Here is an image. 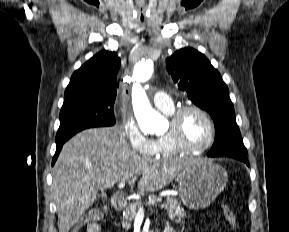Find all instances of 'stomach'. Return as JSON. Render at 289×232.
Masks as SVG:
<instances>
[{
	"mask_svg": "<svg viewBox=\"0 0 289 232\" xmlns=\"http://www.w3.org/2000/svg\"><path fill=\"white\" fill-rule=\"evenodd\" d=\"M179 197L190 209H204L224 190L226 170L204 159L192 160L179 174Z\"/></svg>",
	"mask_w": 289,
	"mask_h": 232,
	"instance_id": "obj_1",
	"label": "stomach"
}]
</instances>
